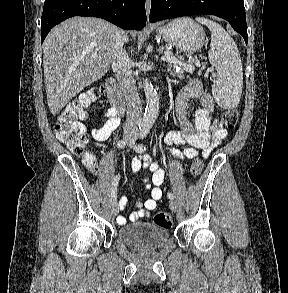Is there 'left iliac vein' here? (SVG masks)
Segmentation results:
<instances>
[{"label":"left iliac vein","instance_id":"4c4485c4","mask_svg":"<svg viewBox=\"0 0 288 293\" xmlns=\"http://www.w3.org/2000/svg\"><path fill=\"white\" fill-rule=\"evenodd\" d=\"M169 207L173 212H176L177 211V203H176V201L173 200V199H170Z\"/></svg>","mask_w":288,"mask_h":293}]
</instances>
